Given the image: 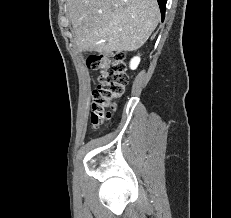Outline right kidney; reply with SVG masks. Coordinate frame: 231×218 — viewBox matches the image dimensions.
I'll return each instance as SVG.
<instances>
[{
  "instance_id": "right-kidney-1",
  "label": "right kidney",
  "mask_w": 231,
  "mask_h": 218,
  "mask_svg": "<svg viewBox=\"0 0 231 218\" xmlns=\"http://www.w3.org/2000/svg\"><path fill=\"white\" fill-rule=\"evenodd\" d=\"M139 62H140V58L139 57L133 58L131 60V65H130L131 69H135L138 66Z\"/></svg>"
}]
</instances>
